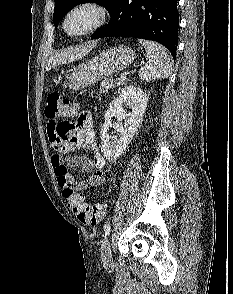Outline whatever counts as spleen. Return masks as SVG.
Masks as SVG:
<instances>
[{
	"label": "spleen",
	"mask_w": 233,
	"mask_h": 294,
	"mask_svg": "<svg viewBox=\"0 0 233 294\" xmlns=\"http://www.w3.org/2000/svg\"><path fill=\"white\" fill-rule=\"evenodd\" d=\"M139 43L146 49L148 63L139 70L141 80L152 81L161 78H167L171 74V61L165 48L159 43L138 40Z\"/></svg>",
	"instance_id": "3e777b00"
}]
</instances>
